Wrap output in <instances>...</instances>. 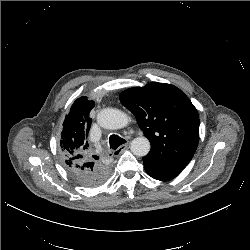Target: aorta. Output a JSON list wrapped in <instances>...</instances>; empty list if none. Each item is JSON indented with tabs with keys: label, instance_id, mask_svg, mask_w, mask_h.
I'll use <instances>...</instances> for the list:
<instances>
[{
	"label": "aorta",
	"instance_id": "762f6f07",
	"mask_svg": "<svg viewBox=\"0 0 250 250\" xmlns=\"http://www.w3.org/2000/svg\"><path fill=\"white\" fill-rule=\"evenodd\" d=\"M97 120L101 127L110 130L121 129L128 124L127 115L113 108L101 110L98 113ZM130 149L136 156H146L150 151V142L144 136L134 138L131 142Z\"/></svg>",
	"mask_w": 250,
	"mask_h": 250
}]
</instances>
